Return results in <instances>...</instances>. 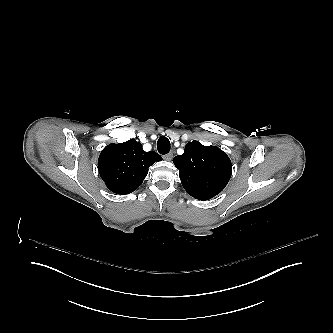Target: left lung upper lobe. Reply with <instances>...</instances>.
Wrapping results in <instances>:
<instances>
[{
  "mask_svg": "<svg viewBox=\"0 0 333 333\" xmlns=\"http://www.w3.org/2000/svg\"><path fill=\"white\" fill-rule=\"evenodd\" d=\"M179 169L184 189L198 200H209L227 185L232 164L227 154L216 146H204L198 141L189 142L184 153L173 159Z\"/></svg>",
  "mask_w": 333,
  "mask_h": 333,
  "instance_id": "obj_1",
  "label": "left lung upper lobe"
}]
</instances>
